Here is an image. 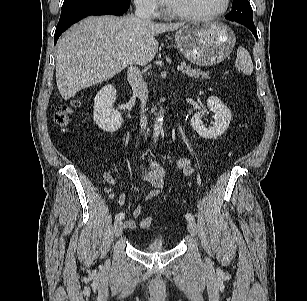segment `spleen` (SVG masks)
Wrapping results in <instances>:
<instances>
[{
	"label": "spleen",
	"instance_id": "spleen-1",
	"mask_svg": "<svg viewBox=\"0 0 307 301\" xmlns=\"http://www.w3.org/2000/svg\"><path fill=\"white\" fill-rule=\"evenodd\" d=\"M235 66L244 74L251 75L253 72V62L249 52L242 46L237 49Z\"/></svg>",
	"mask_w": 307,
	"mask_h": 301
}]
</instances>
